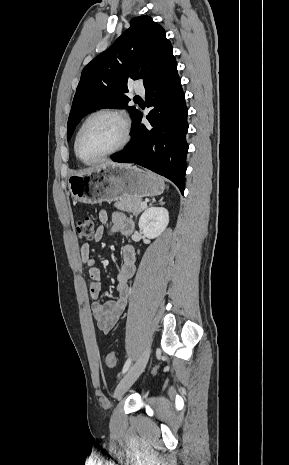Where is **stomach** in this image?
I'll use <instances>...</instances> for the list:
<instances>
[{"instance_id":"obj_1","label":"stomach","mask_w":289,"mask_h":465,"mask_svg":"<svg viewBox=\"0 0 289 465\" xmlns=\"http://www.w3.org/2000/svg\"><path fill=\"white\" fill-rule=\"evenodd\" d=\"M164 188L161 177L133 165H101L68 179L72 198L85 204L113 202L123 197L156 196Z\"/></svg>"}]
</instances>
